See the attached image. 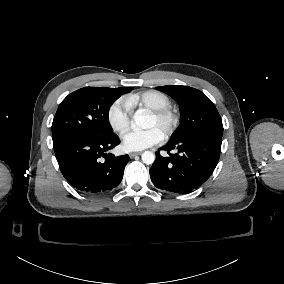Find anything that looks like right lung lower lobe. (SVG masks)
Returning a JSON list of instances; mask_svg holds the SVG:
<instances>
[{
	"label": "right lung lower lobe",
	"instance_id": "right-lung-lower-lobe-1",
	"mask_svg": "<svg viewBox=\"0 0 284 284\" xmlns=\"http://www.w3.org/2000/svg\"><path fill=\"white\" fill-rule=\"evenodd\" d=\"M119 143L114 133L74 136L54 145V151L63 176L74 188L85 194H100L120 184L130 160L128 155L105 153Z\"/></svg>",
	"mask_w": 284,
	"mask_h": 284
}]
</instances>
